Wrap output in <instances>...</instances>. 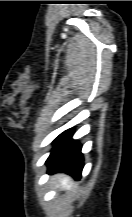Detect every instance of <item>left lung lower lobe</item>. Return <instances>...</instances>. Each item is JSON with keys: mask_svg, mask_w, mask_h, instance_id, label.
<instances>
[{"mask_svg": "<svg viewBox=\"0 0 132 217\" xmlns=\"http://www.w3.org/2000/svg\"><path fill=\"white\" fill-rule=\"evenodd\" d=\"M72 130H66L54 140L55 146L46 165L49 173L65 172L79 180L83 169V155L81 145L71 138Z\"/></svg>", "mask_w": 132, "mask_h": 217, "instance_id": "obj_1", "label": "left lung lower lobe"}]
</instances>
